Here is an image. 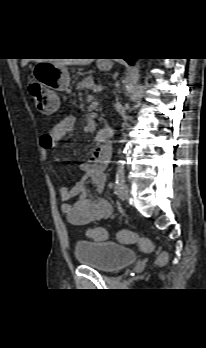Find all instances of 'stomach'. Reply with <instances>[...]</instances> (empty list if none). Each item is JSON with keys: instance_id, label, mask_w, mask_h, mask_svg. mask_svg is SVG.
I'll return each instance as SVG.
<instances>
[{"instance_id": "0dacf381", "label": "stomach", "mask_w": 206, "mask_h": 348, "mask_svg": "<svg viewBox=\"0 0 206 348\" xmlns=\"http://www.w3.org/2000/svg\"><path fill=\"white\" fill-rule=\"evenodd\" d=\"M98 67L101 70H110L112 62L109 60H98ZM35 81L43 87L38 97H35V106L43 114H51L59 107L58 96L55 91L67 90L70 86L68 68L64 65H57L53 62L37 63L32 71ZM50 88L52 91H45Z\"/></svg>"}]
</instances>
